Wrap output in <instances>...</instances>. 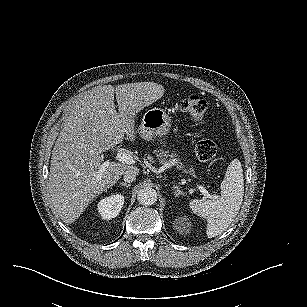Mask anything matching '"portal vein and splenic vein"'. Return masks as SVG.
<instances>
[{"instance_id": "portal-vein-and-splenic-vein-1", "label": "portal vein and splenic vein", "mask_w": 307, "mask_h": 307, "mask_svg": "<svg viewBox=\"0 0 307 307\" xmlns=\"http://www.w3.org/2000/svg\"><path fill=\"white\" fill-rule=\"evenodd\" d=\"M117 159L122 162V163H125L127 165H132V166H135L137 165V158L136 157H133L132 155L128 154V153H119L117 155ZM107 162L103 163L101 166H100V169L101 170H104L106 168V165ZM196 188L204 195V197L206 198H211V199H215L217 198V195H214V194H210L205 188L204 186L200 185V184H196Z\"/></svg>"}]
</instances>
